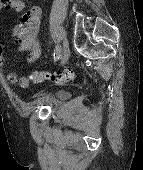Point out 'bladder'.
<instances>
[{
    "instance_id": "bladder-1",
    "label": "bladder",
    "mask_w": 143,
    "mask_h": 170,
    "mask_svg": "<svg viewBox=\"0 0 143 170\" xmlns=\"http://www.w3.org/2000/svg\"><path fill=\"white\" fill-rule=\"evenodd\" d=\"M59 97H60L61 99H63V98L65 97V94H64L63 92H60V93H59Z\"/></svg>"
}]
</instances>
